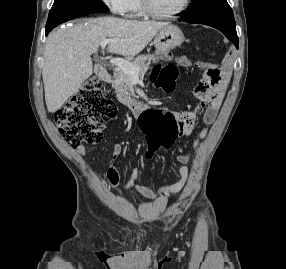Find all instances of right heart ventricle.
<instances>
[{
	"label": "right heart ventricle",
	"mask_w": 286,
	"mask_h": 269,
	"mask_svg": "<svg viewBox=\"0 0 286 269\" xmlns=\"http://www.w3.org/2000/svg\"><path fill=\"white\" fill-rule=\"evenodd\" d=\"M124 14L130 18L142 17L144 14L141 10L139 0H126Z\"/></svg>",
	"instance_id": "1"
}]
</instances>
